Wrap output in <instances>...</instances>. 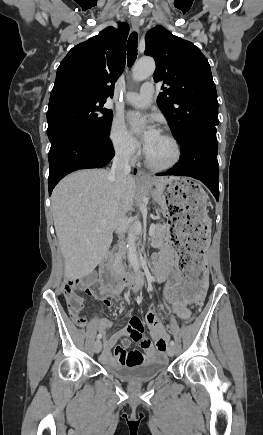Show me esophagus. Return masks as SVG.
Returning a JSON list of instances; mask_svg holds the SVG:
<instances>
[{
	"instance_id": "34e87169",
	"label": "esophagus",
	"mask_w": 263,
	"mask_h": 435,
	"mask_svg": "<svg viewBox=\"0 0 263 435\" xmlns=\"http://www.w3.org/2000/svg\"><path fill=\"white\" fill-rule=\"evenodd\" d=\"M131 23H132L133 29L137 31L139 29V24H140L139 19L138 18H133V19H131ZM137 177L140 180H143V181H149L150 180L149 175L146 172H144L143 170H139L138 171Z\"/></svg>"
}]
</instances>
